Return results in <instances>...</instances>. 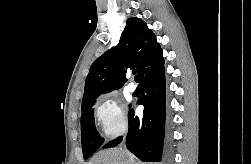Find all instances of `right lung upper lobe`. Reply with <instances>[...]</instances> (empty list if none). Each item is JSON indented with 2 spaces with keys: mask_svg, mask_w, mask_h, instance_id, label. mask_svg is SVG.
<instances>
[{
  "mask_svg": "<svg viewBox=\"0 0 251 164\" xmlns=\"http://www.w3.org/2000/svg\"><path fill=\"white\" fill-rule=\"evenodd\" d=\"M164 63L162 50L154 33L139 18H129L120 41L92 64L85 81L82 108L91 104L101 93L120 88L126 81L127 70L136 68L139 80Z\"/></svg>",
  "mask_w": 251,
  "mask_h": 164,
  "instance_id": "1",
  "label": "right lung upper lobe"
}]
</instances>
